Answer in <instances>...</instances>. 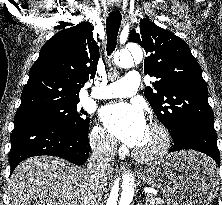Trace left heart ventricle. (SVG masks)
<instances>
[{
    "label": "left heart ventricle",
    "mask_w": 222,
    "mask_h": 205,
    "mask_svg": "<svg viewBox=\"0 0 222 205\" xmlns=\"http://www.w3.org/2000/svg\"><path fill=\"white\" fill-rule=\"evenodd\" d=\"M160 143V134L154 128L148 126L142 140L135 147V149L143 153H150L156 150L159 147Z\"/></svg>",
    "instance_id": "left-heart-ventricle-1"
}]
</instances>
